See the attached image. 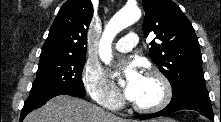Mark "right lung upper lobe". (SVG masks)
Here are the masks:
<instances>
[{"label": "right lung upper lobe", "instance_id": "obj_1", "mask_svg": "<svg viewBox=\"0 0 221 122\" xmlns=\"http://www.w3.org/2000/svg\"><path fill=\"white\" fill-rule=\"evenodd\" d=\"M92 16L91 0L66 1L51 26L40 59L86 57L87 30Z\"/></svg>", "mask_w": 221, "mask_h": 122}]
</instances>
